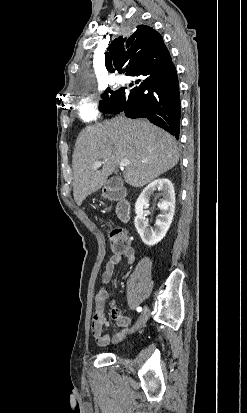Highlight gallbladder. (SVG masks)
Returning a JSON list of instances; mask_svg holds the SVG:
<instances>
[{"label": "gallbladder", "mask_w": 247, "mask_h": 413, "mask_svg": "<svg viewBox=\"0 0 247 413\" xmlns=\"http://www.w3.org/2000/svg\"><path fill=\"white\" fill-rule=\"evenodd\" d=\"M120 182V176H113V178H109V180H107V186H110V188H116V186H119Z\"/></svg>", "instance_id": "bac80fb5"}]
</instances>
